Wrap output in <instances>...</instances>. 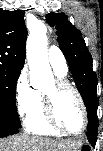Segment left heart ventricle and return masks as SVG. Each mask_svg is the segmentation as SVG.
<instances>
[{
	"mask_svg": "<svg viewBox=\"0 0 103 151\" xmlns=\"http://www.w3.org/2000/svg\"><path fill=\"white\" fill-rule=\"evenodd\" d=\"M54 83L45 92L52 93ZM56 117L59 123L70 131H79L83 127V113L75 94L65 90L56 94Z\"/></svg>",
	"mask_w": 103,
	"mask_h": 151,
	"instance_id": "obj_1",
	"label": "left heart ventricle"
}]
</instances>
